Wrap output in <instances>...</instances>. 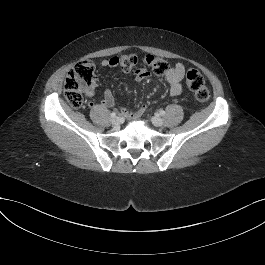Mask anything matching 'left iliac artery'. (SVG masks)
Here are the masks:
<instances>
[{
  "label": "left iliac artery",
  "mask_w": 265,
  "mask_h": 265,
  "mask_svg": "<svg viewBox=\"0 0 265 265\" xmlns=\"http://www.w3.org/2000/svg\"><path fill=\"white\" fill-rule=\"evenodd\" d=\"M160 115L164 116L165 115V111L164 110H160Z\"/></svg>",
  "instance_id": "44dca946"
}]
</instances>
